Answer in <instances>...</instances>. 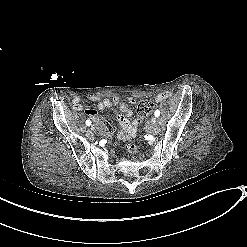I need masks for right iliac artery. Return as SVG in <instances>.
I'll list each match as a JSON object with an SVG mask.
<instances>
[{
	"label": "right iliac artery",
	"instance_id": "right-iliac-artery-1",
	"mask_svg": "<svg viewBox=\"0 0 247 247\" xmlns=\"http://www.w3.org/2000/svg\"><path fill=\"white\" fill-rule=\"evenodd\" d=\"M86 125H87V126H90V125H91V121H90V120H87V121H86Z\"/></svg>",
	"mask_w": 247,
	"mask_h": 247
}]
</instances>
